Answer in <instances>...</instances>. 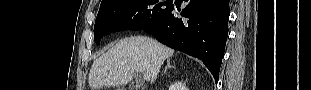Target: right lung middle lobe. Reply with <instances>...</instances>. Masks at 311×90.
Returning <instances> with one entry per match:
<instances>
[{
  "instance_id": "dd1d6c3e",
  "label": "right lung middle lobe",
  "mask_w": 311,
  "mask_h": 90,
  "mask_svg": "<svg viewBox=\"0 0 311 90\" xmlns=\"http://www.w3.org/2000/svg\"><path fill=\"white\" fill-rule=\"evenodd\" d=\"M163 5H166L163 7ZM171 4L159 0H106L94 25V41L97 45L103 36L121 30H139L163 18Z\"/></svg>"
}]
</instances>
